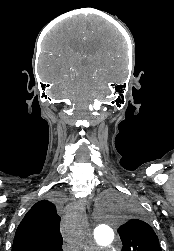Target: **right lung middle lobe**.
Masks as SVG:
<instances>
[{"instance_id":"dd1d6c3e","label":"right lung middle lobe","mask_w":174,"mask_h":251,"mask_svg":"<svg viewBox=\"0 0 174 251\" xmlns=\"http://www.w3.org/2000/svg\"><path fill=\"white\" fill-rule=\"evenodd\" d=\"M51 200L58 204V201L55 198H51Z\"/></svg>"}]
</instances>
